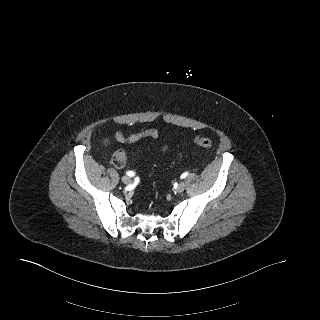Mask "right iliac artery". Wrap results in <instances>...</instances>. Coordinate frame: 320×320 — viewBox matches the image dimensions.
I'll return each mask as SVG.
<instances>
[{
    "label": "right iliac artery",
    "instance_id": "82829eb1",
    "mask_svg": "<svg viewBox=\"0 0 320 320\" xmlns=\"http://www.w3.org/2000/svg\"><path fill=\"white\" fill-rule=\"evenodd\" d=\"M127 175L130 176V177H132V176H134V172L128 171V172H127Z\"/></svg>",
    "mask_w": 320,
    "mask_h": 320
}]
</instances>
